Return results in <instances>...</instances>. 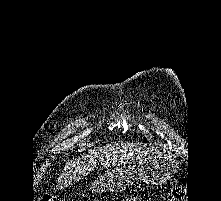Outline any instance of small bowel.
Instances as JSON below:
<instances>
[{
  "label": "small bowel",
  "mask_w": 221,
  "mask_h": 201,
  "mask_svg": "<svg viewBox=\"0 0 221 201\" xmlns=\"http://www.w3.org/2000/svg\"><path fill=\"white\" fill-rule=\"evenodd\" d=\"M127 201H140V200L136 197H131Z\"/></svg>",
  "instance_id": "obj_1"
}]
</instances>
